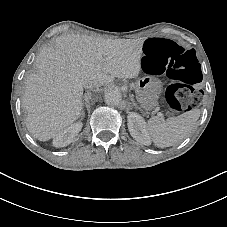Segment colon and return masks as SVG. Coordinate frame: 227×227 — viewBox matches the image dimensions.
<instances>
[{
	"instance_id": "1",
	"label": "colon",
	"mask_w": 227,
	"mask_h": 227,
	"mask_svg": "<svg viewBox=\"0 0 227 227\" xmlns=\"http://www.w3.org/2000/svg\"><path fill=\"white\" fill-rule=\"evenodd\" d=\"M143 63L148 73L170 80L165 97L173 109L185 111L200 102L194 85L202 80V70L192 50L172 40L151 38L143 46Z\"/></svg>"
}]
</instances>
